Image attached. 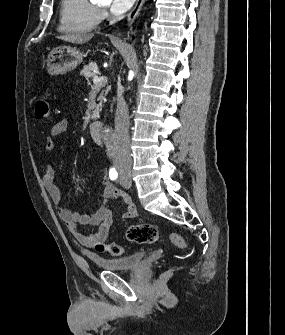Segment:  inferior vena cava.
I'll return each instance as SVG.
<instances>
[{
	"label": "inferior vena cava",
	"instance_id": "602c4592",
	"mask_svg": "<svg viewBox=\"0 0 285 335\" xmlns=\"http://www.w3.org/2000/svg\"><path fill=\"white\" fill-rule=\"evenodd\" d=\"M123 90L120 88L117 98V108L115 114V152L117 160L131 164V146L129 140V112L128 106L122 96Z\"/></svg>",
	"mask_w": 285,
	"mask_h": 335
}]
</instances>
